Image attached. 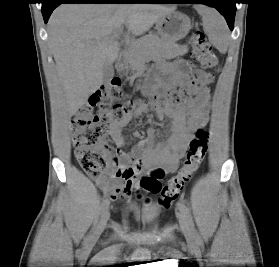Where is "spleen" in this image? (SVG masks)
<instances>
[{"label":"spleen","mask_w":279,"mask_h":267,"mask_svg":"<svg viewBox=\"0 0 279 267\" xmlns=\"http://www.w3.org/2000/svg\"><path fill=\"white\" fill-rule=\"evenodd\" d=\"M195 9L202 16L203 28L209 41L220 51L227 50L229 32L223 17L213 8L196 5Z\"/></svg>","instance_id":"1"}]
</instances>
